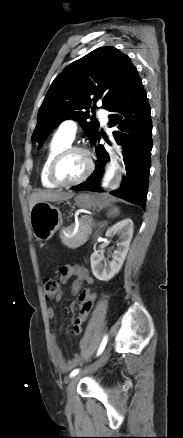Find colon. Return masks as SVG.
Segmentation results:
<instances>
[{
  "label": "colon",
  "mask_w": 183,
  "mask_h": 438,
  "mask_svg": "<svg viewBox=\"0 0 183 438\" xmlns=\"http://www.w3.org/2000/svg\"><path fill=\"white\" fill-rule=\"evenodd\" d=\"M44 292L47 300H54L60 293V284L53 278H47L44 281ZM96 298L97 295L95 292L90 294H81L79 316L82 320H85V322L90 315Z\"/></svg>",
  "instance_id": "1"
}]
</instances>
